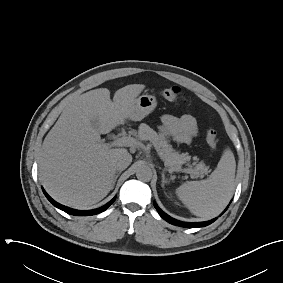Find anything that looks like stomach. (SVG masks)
<instances>
[{
	"instance_id": "obj_1",
	"label": "stomach",
	"mask_w": 283,
	"mask_h": 283,
	"mask_svg": "<svg viewBox=\"0 0 283 283\" xmlns=\"http://www.w3.org/2000/svg\"><path fill=\"white\" fill-rule=\"evenodd\" d=\"M156 106L157 100L155 96L143 94L131 103L128 110V119L140 121L153 112Z\"/></svg>"
}]
</instances>
